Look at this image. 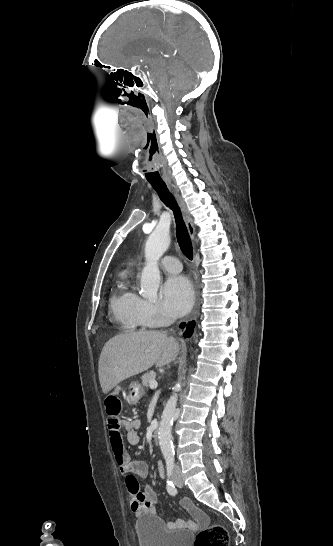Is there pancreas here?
<instances>
[{
	"label": "pancreas",
	"instance_id": "pancreas-1",
	"mask_svg": "<svg viewBox=\"0 0 333 546\" xmlns=\"http://www.w3.org/2000/svg\"><path fill=\"white\" fill-rule=\"evenodd\" d=\"M156 374L153 371L146 372L142 377V385L146 388L149 387L151 381L155 380Z\"/></svg>",
	"mask_w": 333,
	"mask_h": 546
}]
</instances>
